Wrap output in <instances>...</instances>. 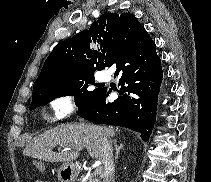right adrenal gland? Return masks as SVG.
<instances>
[{
  "label": "right adrenal gland",
  "instance_id": "obj_1",
  "mask_svg": "<svg viewBox=\"0 0 211 182\" xmlns=\"http://www.w3.org/2000/svg\"><path fill=\"white\" fill-rule=\"evenodd\" d=\"M114 145H115V151H116L115 161H117L118 160V155H119L120 149H122L123 144H121L120 146H118L117 143H116V141H115Z\"/></svg>",
  "mask_w": 211,
  "mask_h": 182
}]
</instances>
